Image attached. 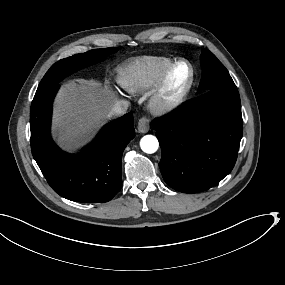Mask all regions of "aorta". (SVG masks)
<instances>
[{
  "label": "aorta",
  "mask_w": 285,
  "mask_h": 285,
  "mask_svg": "<svg viewBox=\"0 0 285 285\" xmlns=\"http://www.w3.org/2000/svg\"><path fill=\"white\" fill-rule=\"evenodd\" d=\"M140 146L145 153L153 154L158 150L159 143L156 137L147 135L141 139Z\"/></svg>",
  "instance_id": "obj_1"
}]
</instances>
